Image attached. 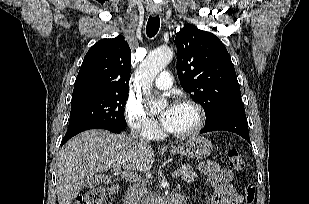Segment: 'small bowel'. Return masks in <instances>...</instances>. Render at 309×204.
Instances as JSON below:
<instances>
[{"label": "small bowel", "instance_id": "c3829d8e", "mask_svg": "<svg viewBox=\"0 0 309 204\" xmlns=\"http://www.w3.org/2000/svg\"><path fill=\"white\" fill-rule=\"evenodd\" d=\"M214 190L211 204H241L243 196L232 185L233 173L228 168L220 167L214 161H207L201 165Z\"/></svg>", "mask_w": 309, "mask_h": 204}]
</instances>
